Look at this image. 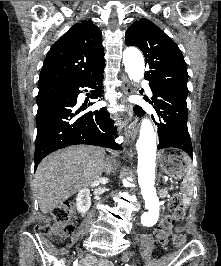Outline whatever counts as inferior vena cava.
Returning <instances> with one entry per match:
<instances>
[{
  "label": "inferior vena cava",
  "mask_w": 221,
  "mask_h": 266,
  "mask_svg": "<svg viewBox=\"0 0 221 266\" xmlns=\"http://www.w3.org/2000/svg\"><path fill=\"white\" fill-rule=\"evenodd\" d=\"M116 161L110 158L106 160V170L112 171L116 169Z\"/></svg>",
  "instance_id": "inferior-vena-cava-1"
}]
</instances>
